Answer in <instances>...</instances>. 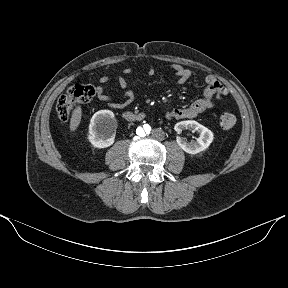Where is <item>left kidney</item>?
<instances>
[{"label": "left kidney", "mask_w": 288, "mask_h": 288, "mask_svg": "<svg viewBox=\"0 0 288 288\" xmlns=\"http://www.w3.org/2000/svg\"><path fill=\"white\" fill-rule=\"evenodd\" d=\"M174 129L178 134L183 130H190L199 134V137L193 142H188L185 138L177 136V144L189 154H197L206 150L214 139L211 130L193 120L178 122Z\"/></svg>", "instance_id": "1"}]
</instances>
